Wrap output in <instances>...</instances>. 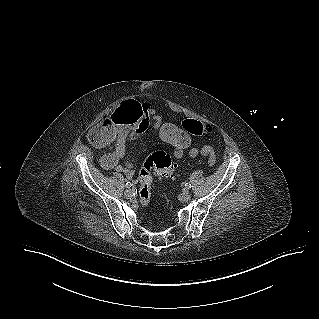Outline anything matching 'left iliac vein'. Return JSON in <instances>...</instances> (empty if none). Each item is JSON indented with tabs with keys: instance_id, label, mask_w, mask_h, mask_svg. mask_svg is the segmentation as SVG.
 <instances>
[{
	"instance_id": "left-iliac-vein-1",
	"label": "left iliac vein",
	"mask_w": 319,
	"mask_h": 319,
	"mask_svg": "<svg viewBox=\"0 0 319 319\" xmlns=\"http://www.w3.org/2000/svg\"><path fill=\"white\" fill-rule=\"evenodd\" d=\"M191 199V195L188 190H184L180 195H179V200L182 202H187Z\"/></svg>"
}]
</instances>
